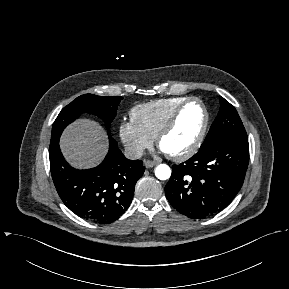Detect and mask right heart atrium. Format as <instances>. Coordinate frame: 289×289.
I'll return each instance as SVG.
<instances>
[{"mask_svg":"<svg viewBox=\"0 0 289 289\" xmlns=\"http://www.w3.org/2000/svg\"><path fill=\"white\" fill-rule=\"evenodd\" d=\"M119 136L126 150L133 157H140L152 146L154 140L132 120L123 121L119 125Z\"/></svg>","mask_w":289,"mask_h":289,"instance_id":"d8ad5b80","label":"right heart atrium"}]
</instances>
